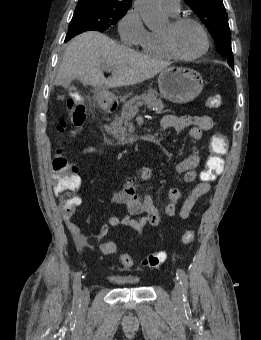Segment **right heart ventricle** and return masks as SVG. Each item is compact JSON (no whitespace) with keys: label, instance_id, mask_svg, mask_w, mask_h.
Here are the masks:
<instances>
[{"label":"right heart ventricle","instance_id":"right-heart-ventricle-1","mask_svg":"<svg viewBox=\"0 0 261 340\" xmlns=\"http://www.w3.org/2000/svg\"><path fill=\"white\" fill-rule=\"evenodd\" d=\"M139 46L143 52L151 57L169 58L170 55L166 52L161 42L160 33L148 32L140 41Z\"/></svg>","mask_w":261,"mask_h":340}]
</instances>
